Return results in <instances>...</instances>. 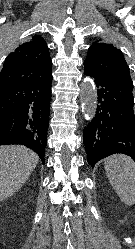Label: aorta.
I'll return each mask as SVG.
<instances>
[{"label": "aorta", "mask_w": 135, "mask_h": 249, "mask_svg": "<svg viewBox=\"0 0 135 249\" xmlns=\"http://www.w3.org/2000/svg\"><path fill=\"white\" fill-rule=\"evenodd\" d=\"M81 87L82 112L86 120L93 119L97 106V90L91 79H84Z\"/></svg>", "instance_id": "762f6f07"}]
</instances>
